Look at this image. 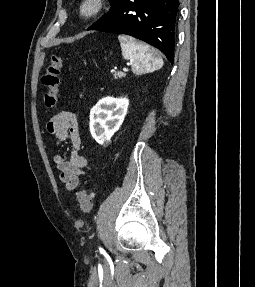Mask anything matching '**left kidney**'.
I'll return each instance as SVG.
<instances>
[{
	"label": "left kidney",
	"instance_id": "obj_1",
	"mask_svg": "<svg viewBox=\"0 0 255 287\" xmlns=\"http://www.w3.org/2000/svg\"><path fill=\"white\" fill-rule=\"evenodd\" d=\"M129 106L127 98H102L90 112V132L99 144H108L119 130Z\"/></svg>",
	"mask_w": 255,
	"mask_h": 287
}]
</instances>
